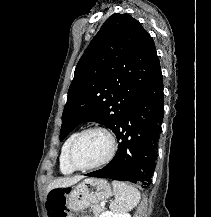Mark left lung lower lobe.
<instances>
[{"mask_svg":"<svg viewBox=\"0 0 211 217\" xmlns=\"http://www.w3.org/2000/svg\"><path fill=\"white\" fill-rule=\"evenodd\" d=\"M163 76L160 74L129 106L114 133L119 141L115 157L104 168L86 176L130 181L142 187L152 182L157 142L164 115Z\"/></svg>","mask_w":211,"mask_h":217,"instance_id":"obj_1","label":"left lung lower lobe"}]
</instances>
